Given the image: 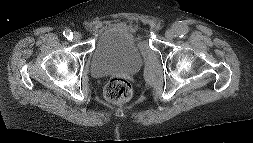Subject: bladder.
I'll return each instance as SVG.
<instances>
[{
    "instance_id": "obj_1",
    "label": "bladder",
    "mask_w": 253,
    "mask_h": 143,
    "mask_svg": "<svg viewBox=\"0 0 253 143\" xmlns=\"http://www.w3.org/2000/svg\"><path fill=\"white\" fill-rule=\"evenodd\" d=\"M145 42L140 33L120 20H109L98 35L90 71L96 77L134 74L144 64Z\"/></svg>"
}]
</instances>
